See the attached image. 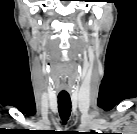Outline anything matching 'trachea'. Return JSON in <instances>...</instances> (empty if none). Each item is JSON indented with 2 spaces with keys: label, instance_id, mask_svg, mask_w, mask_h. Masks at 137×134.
Wrapping results in <instances>:
<instances>
[{
  "label": "trachea",
  "instance_id": "trachea-1",
  "mask_svg": "<svg viewBox=\"0 0 137 134\" xmlns=\"http://www.w3.org/2000/svg\"><path fill=\"white\" fill-rule=\"evenodd\" d=\"M58 111L62 121L66 123L71 113V99L69 95L58 96Z\"/></svg>",
  "mask_w": 137,
  "mask_h": 134
}]
</instances>
